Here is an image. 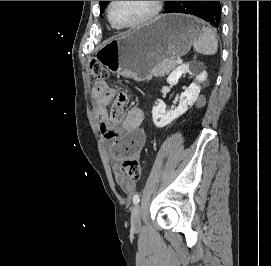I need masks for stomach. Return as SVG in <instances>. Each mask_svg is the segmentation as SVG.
I'll return each mask as SVG.
<instances>
[{
    "instance_id": "0dacf381",
    "label": "stomach",
    "mask_w": 271,
    "mask_h": 266,
    "mask_svg": "<svg viewBox=\"0 0 271 266\" xmlns=\"http://www.w3.org/2000/svg\"><path fill=\"white\" fill-rule=\"evenodd\" d=\"M201 24L193 16L161 15L123 36L105 42L98 61L110 72L145 81L163 60H176L187 54L201 35Z\"/></svg>"
}]
</instances>
